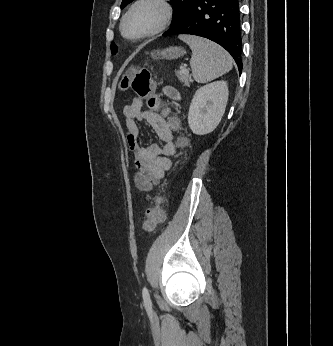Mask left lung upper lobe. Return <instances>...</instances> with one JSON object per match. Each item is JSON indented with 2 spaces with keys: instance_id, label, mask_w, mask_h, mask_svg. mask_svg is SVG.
I'll return each instance as SVG.
<instances>
[{
  "instance_id": "left-lung-upper-lobe-1",
  "label": "left lung upper lobe",
  "mask_w": 333,
  "mask_h": 346,
  "mask_svg": "<svg viewBox=\"0 0 333 346\" xmlns=\"http://www.w3.org/2000/svg\"><path fill=\"white\" fill-rule=\"evenodd\" d=\"M132 1L133 0H123L121 3V8H124ZM171 1L174 3L172 22L175 25L186 16V11L194 0H171ZM111 51L113 54L117 52V47L114 43L111 44Z\"/></svg>"
}]
</instances>
